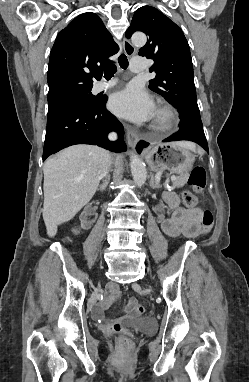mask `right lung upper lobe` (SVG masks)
<instances>
[{
    "label": "right lung upper lobe",
    "mask_w": 249,
    "mask_h": 382,
    "mask_svg": "<svg viewBox=\"0 0 249 382\" xmlns=\"http://www.w3.org/2000/svg\"><path fill=\"white\" fill-rule=\"evenodd\" d=\"M119 51L98 15L88 12L76 17L57 36L52 47L47 81L48 103L92 89V78Z\"/></svg>",
    "instance_id": "1"
}]
</instances>
